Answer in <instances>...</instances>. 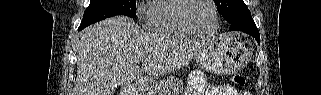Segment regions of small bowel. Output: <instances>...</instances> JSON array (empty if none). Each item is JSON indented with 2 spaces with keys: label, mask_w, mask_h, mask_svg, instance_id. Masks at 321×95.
<instances>
[{
  "label": "small bowel",
  "mask_w": 321,
  "mask_h": 95,
  "mask_svg": "<svg viewBox=\"0 0 321 95\" xmlns=\"http://www.w3.org/2000/svg\"><path fill=\"white\" fill-rule=\"evenodd\" d=\"M204 95H237L234 88L229 85H208L203 93ZM196 95V93H188Z\"/></svg>",
  "instance_id": "small-bowel-1"
}]
</instances>
